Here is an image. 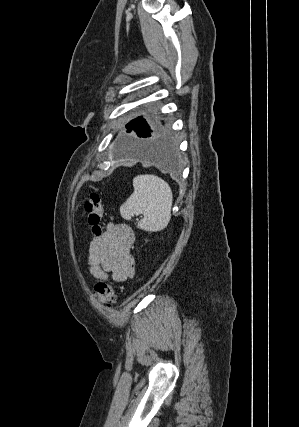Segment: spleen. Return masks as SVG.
<instances>
[{
  "label": "spleen",
  "instance_id": "3e777b00",
  "mask_svg": "<svg viewBox=\"0 0 299 427\" xmlns=\"http://www.w3.org/2000/svg\"><path fill=\"white\" fill-rule=\"evenodd\" d=\"M134 192L120 207L126 220L136 215L144 217L137 227L148 232L163 230L171 219L172 190L167 182L155 175H139L133 179Z\"/></svg>",
  "mask_w": 299,
  "mask_h": 427
}]
</instances>
